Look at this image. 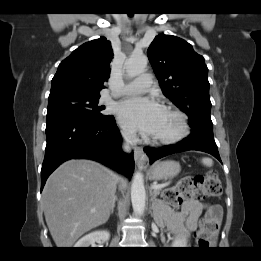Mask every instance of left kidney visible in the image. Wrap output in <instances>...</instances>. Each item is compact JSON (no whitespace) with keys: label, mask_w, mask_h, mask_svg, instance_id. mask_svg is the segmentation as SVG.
Listing matches in <instances>:
<instances>
[{"label":"left kidney","mask_w":261,"mask_h":261,"mask_svg":"<svg viewBox=\"0 0 261 261\" xmlns=\"http://www.w3.org/2000/svg\"><path fill=\"white\" fill-rule=\"evenodd\" d=\"M172 247H187V241L182 237H178L173 241Z\"/></svg>","instance_id":"left-kidney-1"}]
</instances>
